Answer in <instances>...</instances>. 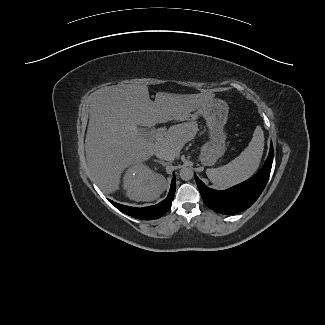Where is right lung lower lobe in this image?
<instances>
[{
	"label": "right lung lower lobe",
	"instance_id": "obj_1",
	"mask_svg": "<svg viewBox=\"0 0 325 325\" xmlns=\"http://www.w3.org/2000/svg\"><path fill=\"white\" fill-rule=\"evenodd\" d=\"M175 188H176L175 175H173V179L171 181V188L168 193V196L159 204L149 206V207L137 208V207L121 205L113 202L112 200L109 201L117 209H119L120 211H122L123 213L129 216H132L137 219H142V220H152L163 216L170 209L175 194Z\"/></svg>",
	"mask_w": 325,
	"mask_h": 325
}]
</instances>
